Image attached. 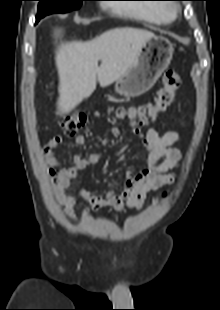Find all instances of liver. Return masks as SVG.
<instances>
[{
    "label": "liver",
    "instance_id": "1",
    "mask_svg": "<svg viewBox=\"0 0 220 310\" xmlns=\"http://www.w3.org/2000/svg\"><path fill=\"white\" fill-rule=\"evenodd\" d=\"M61 35L55 31L56 39ZM151 31L115 28L90 41L60 43L56 49L59 76L58 113H69L96 89L97 80L106 87L124 75L138 58ZM98 61L101 65L98 66Z\"/></svg>",
    "mask_w": 220,
    "mask_h": 310
}]
</instances>
